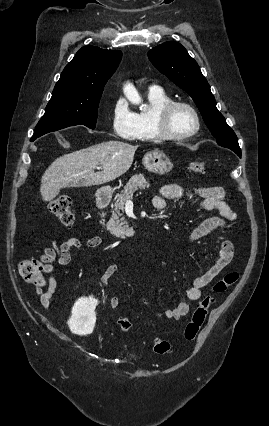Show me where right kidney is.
Masks as SVG:
<instances>
[{"mask_svg":"<svg viewBox=\"0 0 269 426\" xmlns=\"http://www.w3.org/2000/svg\"><path fill=\"white\" fill-rule=\"evenodd\" d=\"M96 300L81 299L76 302L72 308V315L68 321V325L72 333L78 335L91 334L95 327L96 314L95 306Z\"/></svg>","mask_w":269,"mask_h":426,"instance_id":"ca27d5eb","label":"right kidney"}]
</instances>
